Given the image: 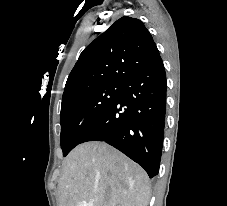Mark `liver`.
Masks as SVG:
<instances>
[{"mask_svg":"<svg viewBox=\"0 0 227 206\" xmlns=\"http://www.w3.org/2000/svg\"><path fill=\"white\" fill-rule=\"evenodd\" d=\"M147 173L135 162L104 142L75 147L63 163L58 182L59 206H147Z\"/></svg>","mask_w":227,"mask_h":206,"instance_id":"1","label":"liver"}]
</instances>
